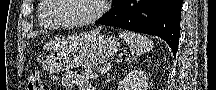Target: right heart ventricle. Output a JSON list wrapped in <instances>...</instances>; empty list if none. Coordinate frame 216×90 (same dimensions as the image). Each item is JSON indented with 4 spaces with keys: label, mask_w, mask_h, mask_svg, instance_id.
Returning a JSON list of instances; mask_svg holds the SVG:
<instances>
[{
    "label": "right heart ventricle",
    "mask_w": 216,
    "mask_h": 90,
    "mask_svg": "<svg viewBox=\"0 0 216 90\" xmlns=\"http://www.w3.org/2000/svg\"><path fill=\"white\" fill-rule=\"evenodd\" d=\"M54 5L55 2H40V6L37 7V10H40V14H53L52 7H55ZM38 24L41 29H56V27L50 24L42 15L38 17Z\"/></svg>",
    "instance_id": "e07e8e85"
}]
</instances>
